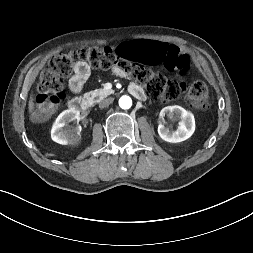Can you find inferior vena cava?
Here are the masks:
<instances>
[{"label": "inferior vena cava", "instance_id": "602c4592", "mask_svg": "<svg viewBox=\"0 0 253 253\" xmlns=\"http://www.w3.org/2000/svg\"><path fill=\"white\" fill-rule=\"evenodd\" d=\"M112 102H113L112 98L104 99V100L100 101L99 107L100 108L108 107Z\"/></svg>", "mask_w": 253, "mask_h": 253}]
</instances>
